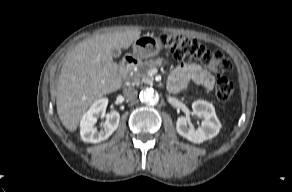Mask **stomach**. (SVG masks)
I'll return each mask as SVG.
<instances>
[{
    "mask_svg": "<svg viewBox=\"0 0 292 192\" xmlns=\"http://www.w3.org/2000/svg\"><path fill=\"white\" fill-rule=\"evenodd\" d=\"M161 42L153 35H143L133 44V55L139 59H147L159 54Z\"/></svg>",
    "mask_w": 292,
    "mask_h": 192,
    "instance_id": "obj_1",
    "label": "stomach"
}]
</instances>
